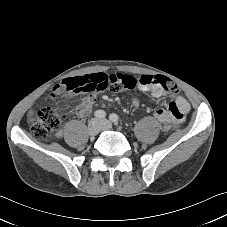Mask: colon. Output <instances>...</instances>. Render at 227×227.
<instances>
[{
  "instance_id": "obj_1",
  "label": "colon",
  "mask_w": 227,
  "mask_h": 227,
  "mask_svg": "<svg viewBox=\"0 0 227 227\" xmlns=\"http://www.w3.org/2000/svg\"><path fill=\"white\" fill-rule=\"evenodd\" d=\"M109 75L110 82L107 84V89L112 92L134 89L140 84L160 85L171 94H175L178 91L177 85L165 76L143 75L140 78H136L132 75L122 73ZM64 107L65 102L63 101L61 106L57 108L45 107L39 110L31 120V130L34 137L43 139L46 138L51 132L57 130L66 117Z\"/></svg>"
}]
</instances>
